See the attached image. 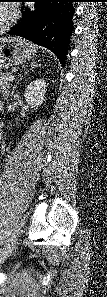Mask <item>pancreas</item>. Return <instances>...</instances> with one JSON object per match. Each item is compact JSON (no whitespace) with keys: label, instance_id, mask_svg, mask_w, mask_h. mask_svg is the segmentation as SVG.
Instances as JSON below:
<instances>
[{"label":"pancreas","instance_id":"pancreas-1","mask_svg":"<svg viewBox=\"0 0 107 297\" xmlns=\"http://www.w3.org/2000/svg\"><path fill=\"white\" fill-rule=\"evenodd\" d=\"M11 76V73H1L0 74V85L1 88H4L8 85V78Z\"/></svg>","mask_w":107,"mask_h":297}]
</instances>
